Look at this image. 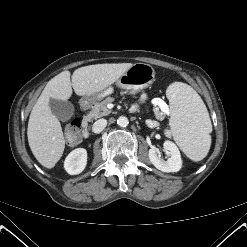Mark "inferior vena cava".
<instances>
[{
  "mask_svg": "<svg viewBox=\"0 0 247 247\" xmlns=\"http://www.w3.org/2000/svg\"><path fill=\"white\" fill-rule=\"evenodd\" d=\"M106 125L107 121L105 119H99L93 124L92 131L94 133H100L105 129Z\"/></svg>",
  "mask_w": 247,
  "mask_h": 247,
  "instance_id": "1",
  "label": "inferior vena cava"
}]
</instances>
